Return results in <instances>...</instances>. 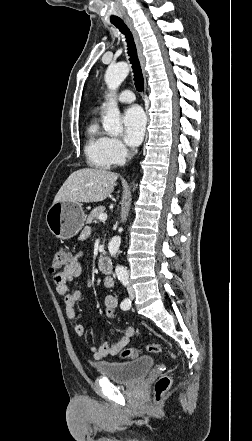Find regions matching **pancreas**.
<instances>
[{
	"label": "pancreas",
	"mask_w": 252,
	"mask_h": 441,
	"mask_svg": "<svg viewBox=\"0 0 252 441\" xmlns=\"http://www.w3.org/2000/svg\"><path fill=\"white\" fill-rule=\"evenodd\" d=\"M104 211V206L96 207L94 210L91 211L90 215L88 216V222H97V220H99V215L104 213Z\"/></svg>",
	"instance_id": "pancreas-1"
}]
</instances>
